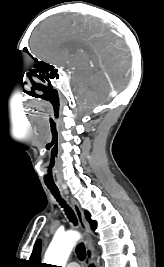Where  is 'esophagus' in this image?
<instances>
[{
    "mask_svg": "<svg viewBox=\"0 0 164 267\" xmlns=\"http://www.w3.org/2000/svg\"><path fill=\"white\" fill-rule=\"evenodd\" d=\"M69 199L71 201V204L73 206V209L75 211V214L77 216L78 222L80 224V227L84 233L85 236V248H86V265L89 266L94 262V254L92 249V237H91V230L89 227V224L85 218L84 212L80 208L78 202L69 196Z\"/></svg>",
    "mask_w": 164,
    "mask_h": 267,
    "instance_id": "34e87169",
    "label": "esophagus"
}]
</instances>
